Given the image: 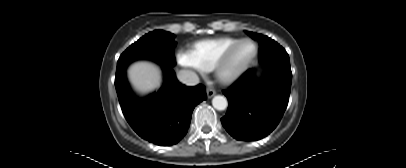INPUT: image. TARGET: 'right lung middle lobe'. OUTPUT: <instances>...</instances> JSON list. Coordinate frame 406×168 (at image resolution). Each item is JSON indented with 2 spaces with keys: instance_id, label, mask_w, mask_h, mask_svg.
<instances>
[{
  "instance_id": "1",
  "label": "right lung middle lobe",
  "mask_w": 406,
  "mask_h": 168,
  "mask_svg": "<svg viewBox=\"0 0 406 168\" xmlns=\"http://www.w3.org/2000/svg\"><path fill=\"white\" fill-rule=\"evenodd\" d=\"M175 35L163 30H155L144 35L123 52L117 62V71H125L127 66L139 59H148L160 65H175L173 48Z\"/></svg>"
}]
</instances>
